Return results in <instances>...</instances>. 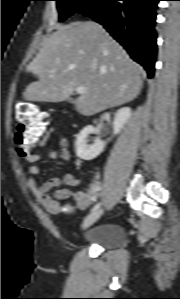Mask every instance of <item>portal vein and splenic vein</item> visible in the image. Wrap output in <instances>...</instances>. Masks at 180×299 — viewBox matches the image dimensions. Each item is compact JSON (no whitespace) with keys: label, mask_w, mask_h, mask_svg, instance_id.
<instances>
[{"label":"portal vein and splenic vein","mask_w":180,"mask_h":299,"mask_svg":"<svg viewBox=\"0 0 180 299\" xmlns=\"http://www.w3.org/2000/svg\"><path fill=\"white\" fill-rule=\"evenodd\" d=\"M76 92H77L78 94L82 95V94L86 93V88H85L84 86H78V87L76 88Z\"/></svg>","instance_id":"1"}]
</instances>
